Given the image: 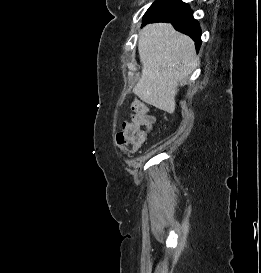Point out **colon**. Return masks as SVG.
Listing matches in <instances>:
<instances>
[{
  "mask_svg": "<svg viewBox=\"0 0 261 273\" xmlns=\"http://www.w3.org/2000/svg\"><path fill=\"white\" fill-rule=\"evenodd\" d=\"M132 121L116 135V143L124 152L137 151L146 141L147 133L141 124L148 117L147 106L139 100L132 102Z\"/></svg>",
  "mask_w": 261,
  "mask_h": 273,
  "instance_id": "obj_1",
  "label": "colon"
}]
</instances>
